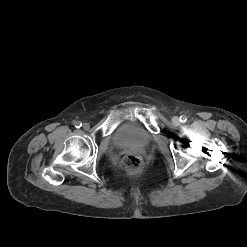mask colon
Segmentation results:
<instances>
[{
    "mask_svg": "<svg viewBox=\"0 0 247 247\" xmlns=\"http://www.w3.org/2000/svg\"><path fill=\"white\" fill-rule=\"evenodd\" d=\"M141 167V159L136 155H127L122 161V168L126 172H136Z\"/></svg>",
    "mask_w": 247,
    "mask_h": 247,
    "instance_id": "5ec220e1",
    "label": "colon"
}]
</instances>
